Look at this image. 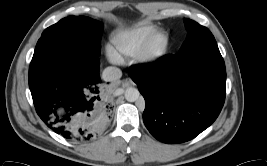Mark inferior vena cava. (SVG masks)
<instances>
[{"mask_svg":"<svg viewBox=\"0 0 267 166\" xmlns=\"http://www.w3.org/2000/svg\"><path fill=\"white\" fill-rule=\"evenodd\" d=\"M122 76V72L117 67H107L104 69L102 73V77L105 81H115L120 79Z\"/></svg>","mask_w":267,"mask_h":166,"instance_id":"obj_1","label":"inferior vena cava"}]
</instances>
